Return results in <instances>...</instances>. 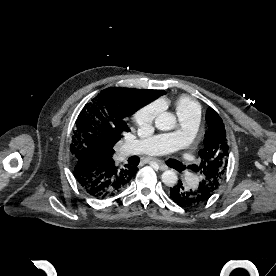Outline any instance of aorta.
<instances>
[{
    "instance_id": "aorta-1",
    "label": "aorta",
    "mask_w": 276,
    "mask_h": 276,
    "mask_svg": "<svg viewBox=\"0 0 276 276\" xmlns=\"http://www.w3.org/2000/svg\"><path fill=\"white\" fill-rule=\"evenodd\" d=\"M155 126L161 131L172 130L176 126V117L170 112H163L156 117ZM161 179L165 185L172 187L177 184L178 176L175 171L166 170L162 173Z\"/></svg>"
}]
</instances>
